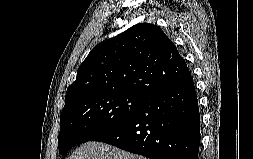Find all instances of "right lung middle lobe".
I'll list each match as a JSON object with an SVG mask.
<instances>
[{"label": "right lung middle lobe", "instance_id": "obj_1", "mask_svg": "<svg viewBox=\"0 0 253 159\" xmlns=\"http://www.w3.org/2000/svg\"><path fill=\"white\" fill-rule=\"evenodd\" d=\"M146 98L131 92H100L71 100L65 104L60 116L59 153L64 155L74 145L116 127Z\"/></svg>", "mask_w": 253, "mask_h": 159}]
</instances>
